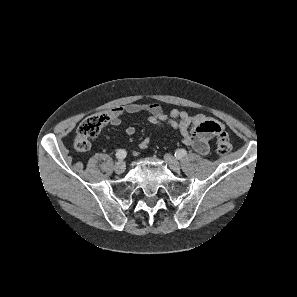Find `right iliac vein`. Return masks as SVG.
I'll return each mask as SVG.
<instances>
[{
  "mask_svg": "<svg viewBox=\"0 0 297 297\" xmlns=\"http://www.w3.org/2000/svg\"><path fill=\"white\" fill-rule=\"evenodd\" d=\"M114 170L116 173L121 174L124 172L125 170V163L121 160L118 161L115 165H114Z\"/></svg>",
  "mask_w": 297,
  "mask_h": 297,
  "instance_id": "63e3f726",
  "label": "right iliac vein"
}]
</instances>
